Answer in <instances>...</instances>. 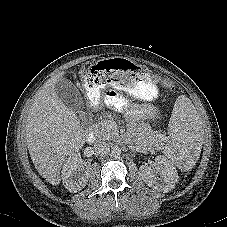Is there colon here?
Instances as JSON below:
<instances>
[{
    "label": "colon",
    "mask_w": 227,
    "mask_h": 227,
    "mask_svg": "<svg viewBox=\"0 0 227 227\" xmlns=\"http://www.w3.org/2000/svg\"><path fill=\"white\" fill-rule=\"evenodd\" d=\"M141 68V67H140ZM142 69V68H141ZM143 70V69H142ZM144 71V70H143ZM145 72V71H144ZM166 84L169 86V87H171L172 86V83H170V82H166Z\"/></svg>",
    "instance_id": "colon-1"
}]
</instances>
